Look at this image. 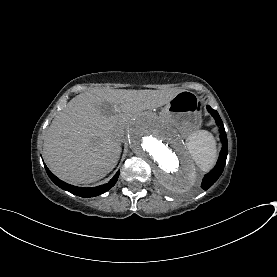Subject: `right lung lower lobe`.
<instances>
[{"label":"right lung lower lobe","instance_id":"right-lung-lower-lobe-1","mask_svg":"<svg viewBox=\"0 0 277 277\" xmlns=\"http://www.w3.org/2000/svg\"><path fill=\"white\" fill-rule=\"evenodd\" d=\"M45 169L47 171L48 176L50 179L60 188L74 194L80 197H93V196H98L106 191H108L111 187H113L118 179L119 176V171L115 174V176L107 183L104 185H100L98 187H93V188H81V187H76L72 186L70 184H67L60 179H58L54 174H52L49 169L46 167L44 164Z\"/></svg>","mask_w":277,"mask_h":277}]
</instances>
